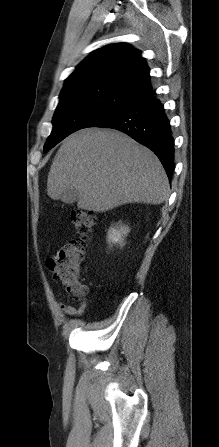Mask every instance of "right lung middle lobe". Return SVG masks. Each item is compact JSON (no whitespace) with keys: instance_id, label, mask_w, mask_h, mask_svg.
Listing matches in <instances>:
<instances>
[{"instance_id":"1","label":"right lung middle lobe","mask_w":219,"mask_h":447,"mask_svg":"<svg viewBox=\"0 0 219 447\" xmlns=\"http://www.w3.org/2000/svg\"><path fill=\"white\" fill-rule=\"evenodd\" d=\"M141 102L113 87L82 85L63 89L44 152L71 133L86 127H97Z\"/></svg>"}]
</instances>
